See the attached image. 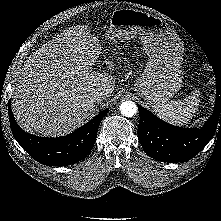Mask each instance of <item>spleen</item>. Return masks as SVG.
I'll return each instance as SVG.
<instances>
[{
    "label": "spleen",
    "mask_w": 221,
    "mask_h": 221,
    "mask_svg": "<svg viewBox=\"0 0 221 221\" xmlns=\"http://www.w3.org/2000/svg\"><path fill=\"white\" fill-rule=\"evenodd\" d=\"M199 97V91L195 90L185 99L155 105L152 108L156 115L164 121L172 125L184 126L196 113L200 102Z\"/></svg>",
    "instance_id": "3e777b00"
}]
</instances>
